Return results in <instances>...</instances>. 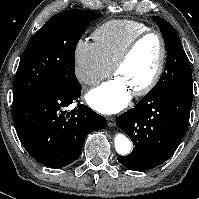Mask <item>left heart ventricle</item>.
I'll list each match as a JSON object with an SVG mask.
<instances>
[{
	"label": "left heart ventricle",
	"instance_id": "b2bd125f",
	"mask_svg": "<svg viewBox=\"0 0 199 199\" xmlns=\"http://www.w3.org/2000/svg\"><path fill=\"white\" fill-rule=\"evenodd\" d=\"M160 53V43L156 36L144 38L118 69L116 76L120 77L133 92L151 79L157 68Z\"/></svg>",
	"mask_w": 199,
	"mask_h": 199
}]
</instances>
